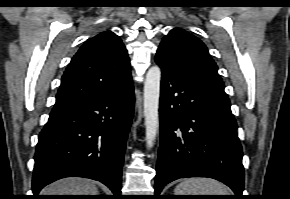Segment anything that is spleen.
I'll return each instance as SVG.
<instances>
[{
  "mask_svg": "<svg viewBox=\"0 0 290 199\" xmlns=\"http://www.w3.org/2000/svg\"><path fill=\"white\" fill-rule=\"evenodd\" d=\"M174 192L175 195H229L224 184L209 178L184 179Z\"/></svg>",
  "mask_w": 290,
  "mask_h": 199,
  "instance_id": "1",
  "label": "spleen"
}]
</instances>
